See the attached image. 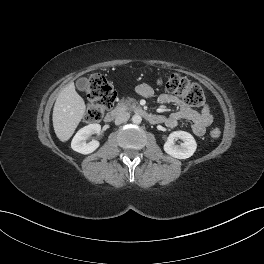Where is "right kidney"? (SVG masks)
I'll return each instance as SVG.
<instances>
[{
  "label": "right kidney",
  "mask_w": 264,
  "mask_h": 264,
  "mask_svg": "<svg viewBox=\"0 0 264 264\" xmlns=\"http://www.w3.org/2000/svg\"><path fill=\"white\" fill-rule=\"evenodd\" d=\"M101 131L100 124H90L83 128H81L71 142V147L74 151L79 152L81 154H90L94 152L99 147V141L92 140L90 142H86V139L91 134H98Z\"/></svg>",
  "instance_id": "ca27d5eb"
}]
</instances>
